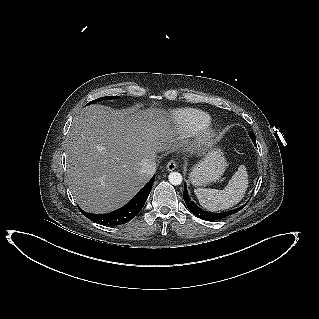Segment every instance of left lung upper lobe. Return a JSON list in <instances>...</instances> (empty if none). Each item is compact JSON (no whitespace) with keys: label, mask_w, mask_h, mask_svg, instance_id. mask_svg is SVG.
Instances as JSON below:
<instances>
[{"label":"left lung upper lobe","mask_w":319,"mask_h":319,"mask_svg":"<svg viewBox=\"0 0 319 319\" xmlns=\"http://www.w3.org/2000/svg\"><path fill=\"white\" fill-rule=\"evenodd\" d=\"M250 137H251V139H252L253 141H256L254 132H251V133H250Z\"/></svg>","instance_id":"obj_1"}]
</instances>
